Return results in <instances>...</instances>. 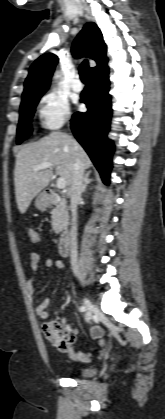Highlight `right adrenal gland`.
Instances as JSON below:
<instances>
[{
    "label": "right adrenal gland",
    "mask_w": 165,
    "mask_h": 419,
    "mask_svg": "<svg viewBox=\"0 0 165 419\" xmlns=\"http://www.w3.org/2000/svg\"><path fill=\"white\" fill-rule=\"evenodd\" d=\"M90 174H91V170L87 171L84 176V184H83L82 192H85L87 185L93 181V179L89 178Z\"/></svg>",
    "instance_id": "1"
}]
</instances>
